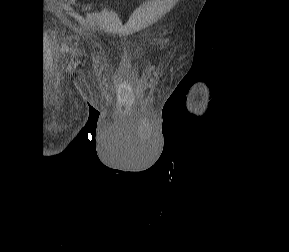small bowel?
Listing matches in <instances>:
<instances>
[{
    "instance_id": "small-bowel-1",
    "label": "small bowel",
    "mask_w": 289,
    "mask_h": 252,
    "mask_svg": "<svg viewBox=\"0 0 289 252\" xmlns=\"http://www.w3.org/2000/svg\"><path fill=\"white\" fill-rule=\"evenodd\" d=\"M67 2L72 5L74 4L75 0H67Z\"/></svg>"
}]
</instances>
